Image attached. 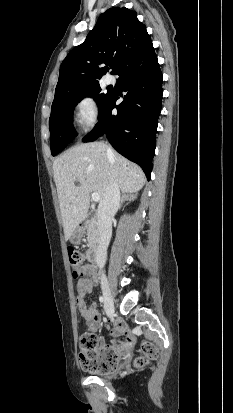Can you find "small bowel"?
I'll use <instances>...</instances> for the list:
<instances>
[{
	"label": "small bowel",
	"mask_w": 233,
	"mask_h": 413,
	"mask_svg": "<svg viewBox=\"0 0 233 413\" xmlns=\"http://www.w3.org/2000/svg\"><path fill=\"white\" fill-rule=\"evenodd\" d=\"M96 283L95 278H91L88 282L78 283V294L75 298L77 310L80 316L84 319L86 325L92 330H96L101 323V313L97 309L96 304L88 305L85 301V296L93 291ZM113 329L110 332L111 338H117L123 334L127 335L126 340L119 346H109L105 343L104 338H99L101 350L112 349L117 355L125 354L128 352L132 345V337L128 334L127 326L120 320H115L113 323Z\"/></svg>",
	"instance_id": "1"
}]
</instances>
